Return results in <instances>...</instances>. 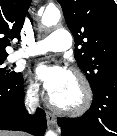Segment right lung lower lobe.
Here are the masks:
<instances>
[{"mask_svg":"<svg viewBox=\"0 0 117 136\" xmlns=\"http://www.w3.org/2000/svg\"><path fill=\"white\" fill-rule=\"evenodd\" d=\"M45 112L38 108L29 115L24 107L23 77L0 82V130L26 131L42 136L46 130Z\"/></svg>","mask_w":117,"mask_h":136,"instance_id":"obj_1","label":"right lung lower lobe"}]
</instances>
